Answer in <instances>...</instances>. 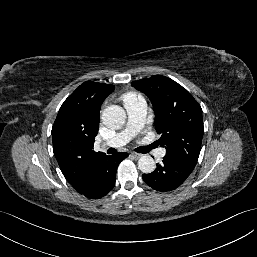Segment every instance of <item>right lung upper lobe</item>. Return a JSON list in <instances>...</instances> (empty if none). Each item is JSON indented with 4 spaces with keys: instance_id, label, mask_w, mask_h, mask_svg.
Here are the masks:
<instances>
[{
    "instance_id": "1",
    "label": "right lung upper lobe",
    "mask_w": 257,
    "mask_h": 257,
    "mask_svg": "<svg viewBox=\"0 0 257 257\" xmlns=\"http://www.w3.org/2000/svg\"><path fill=\"white\" fill-rule=\"evenodd\" d=\"M111 84L86 81L62 104L52 127L53 152L72 187L84 190L106 155L93 150L100 107L114 91Z\"/></svg>"
}]
</instances>
